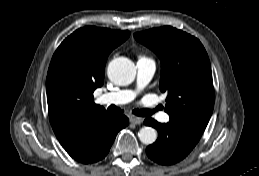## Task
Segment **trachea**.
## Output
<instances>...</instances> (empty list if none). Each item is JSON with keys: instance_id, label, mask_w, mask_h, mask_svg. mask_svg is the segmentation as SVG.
Segmentation results:
<instances>
[{"instance_id": "3493384b", "label": "trachea", "mask_w": 259, "mask_h": 176, "mask_svg": "<svg viewBox=\"0 0 259 176\" xmlns=\"http://www.w3.org/2000/svg\"><path fill=\"white\" fill-rule=\"evenodd\" d=\"M158 109H160V107H157L155 110H158ZM108 110L110 112H114V113H121L122 112V110L120 108L116 107V106H109ZM133 113L135 115H138V116H141V117H146V116H150L151 114H153L154 111L149 110V109H142V110L137 109V110H134Z\"/></svg>"}]
</instances>
